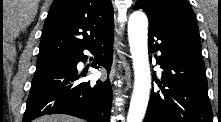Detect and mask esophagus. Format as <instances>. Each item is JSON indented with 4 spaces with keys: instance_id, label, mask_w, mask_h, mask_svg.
<instances>
[{
    "instance_id": "esophagus-1",
    "label": "esophagus",
    "mask_w": 221,
    "mask_h": 122,
    "mask_svg": "<svg viewBox=\"0 0 221 122\" xmlns=\"http://www.w3.org/2000/svg\"><path fill=\"white\" fill-rule=\"evenodd\" d=\"M115 73H116V68H115V65H113L112 71H111V74H110V79H111V81L114 80Z\"/></svg>"
}]
</instances>
